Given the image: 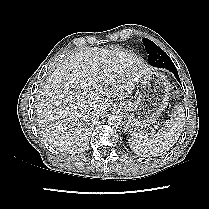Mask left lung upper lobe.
Returning a JSON list of instances; mask_svg holds the SVG:
<instances>
[{
    "label": "left lung upper lobe",
    "mask_w": 209,
    "mask_h": 209,
    "mask_svg": "<svg viewBox=\"0 0 209 209\" xmlns=\"http://www.w3.org/2000/svg\"><path fill=\"white\" fill-rule=\"evenodd\" d=\"M145 48L149 54V64L154 67L175 69V65L170 57L151 40L144 38Z\"/></svg>",
    "instance_id": "1"
}]
</instances>
